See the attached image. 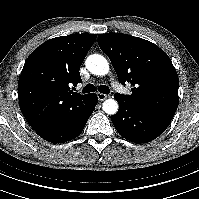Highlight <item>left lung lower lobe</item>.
<instances>
[{
    "label": "left lung lower lobe",
    "instance_id": "1",
    "mask_svg": "<svg viewBox=\"0 0 199 199\" xmlns=\"http://www.w3.org/2000/svg\"><path fill=\"white\" fill-rule=\"evenodd\" d=\"M114 97L119 103V110L111 117L112 123L119 134L131 142L140 144L154 140L172 120L145 111L120 96Z\"/></svg>",
    "mask_w": 199,
    "mask_h": 199
}]
</instances>
